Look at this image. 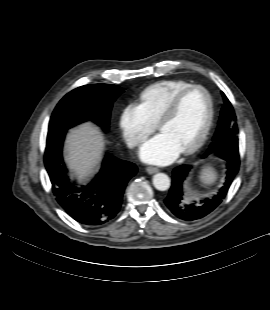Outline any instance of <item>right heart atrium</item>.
Here are the masks:
<instances>
[{
	"mask_svg": "<svg viewBox=\"0 0 270 310\" xmlns=\"http://www.w3.org/2000/svg\"><path fill=\"white\" fill-rule=\"evenodd\" d=\"M120 128L130 147L140 145L154 130V123L140 104L129 102L120 115Z\"/></svg>",
	"mask_w": 270,
	"mask_h": 310,
	"instance_id": "obj_1",
	"label": "right heart atrium"
}]
</instances>
